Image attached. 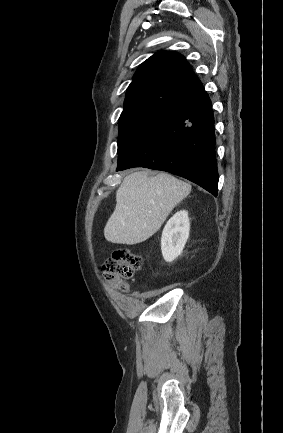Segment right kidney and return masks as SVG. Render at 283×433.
Wrapping results in <instances>:
<instances>
[{
	"instance_id": "right-kidney-1",
	"label": "right kidney",
	"mask_w": 283,
	"mask_h": 433,
	"mask_svg": "<svg viewBox=\"0 0 283 433\" xmlns=\"http://www.w3.org/2000/svg\"><path fill=\"white\" fill-rule=\"evenodd\" d=\"M189 232L190 221L187 211H178L168 220L161 237V251L166 262H172L182 254Z\"/></svg>"
}]
</instances>
